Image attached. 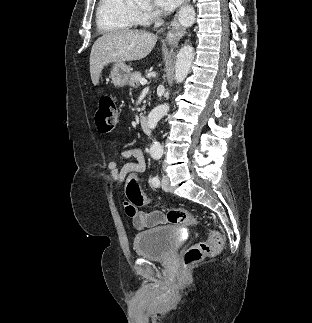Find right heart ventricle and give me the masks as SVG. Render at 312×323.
<instances>
[{
    "mask_svg": "<svg viewBox=\"0 0 312 323\" xmlns=\"http://www.w3.org/2000/svg\"><path fill=\"white\" fill-rule=\"evenodd\" d=\"M145 13H138L124 0H98L94 5V23L97 29H130L131 25H141Z\"/></svg>",
    "mask_w": 312,
    "mask_h": 323,
    "instance_id": "right-heart-ventricle-1",
    "label": "right heart ventricle"
}]
</instances>
